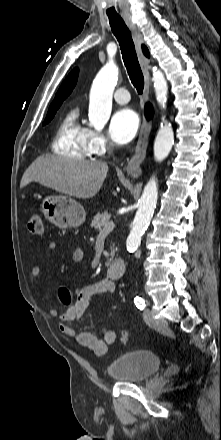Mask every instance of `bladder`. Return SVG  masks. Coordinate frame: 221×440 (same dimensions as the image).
<instances>
[{
    "label": "bladder",
    "mask_w": 221,
    "mask_h": 440,
    "mask_svg": "<svg viewBox=\"0 0 221 440\" xmlns=\"http://www.w3.org/2000/svg\"><path fill=\"white\" fill-rule=\"evenodd\" d=\"M159 356L149 350H133L124 353L106 367L108 376L122 383L143 382L153 376L161 367Z\"/></svg>",
    "instance_id": "obj_1"
}]
</instances>
